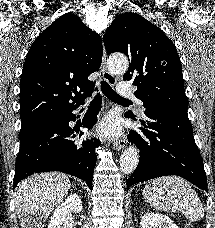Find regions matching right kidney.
<instances>
[{
  "mask_svg": "<svg viewBox=\"0 0 215 228\" xmlns=\"http://www.w3.org/2000/svg\"><path fill=\"white\" fill-rule=\"evenodd\" d=\"M82 208L83 206L80 196H77V194H71L65 202L58 204L50 218L48 228H71L67 218L68 212L79 214V212H82Z\"/></svg>",
  "mask_w": 215,
  "mask_h": 228,
  "instance_id": "right-kidney-1",
  "label": "right kidney"
}]
</instances>
